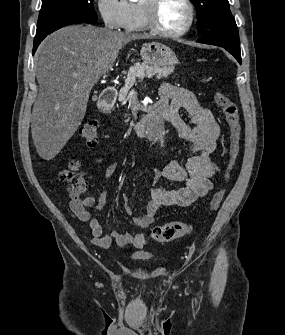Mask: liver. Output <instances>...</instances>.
<instances>
[{
  "label": "liver",
  "instance_id": "1",
  "mask_svg": "<svg viewBox=\"0 0 285 335\" xmlns=\"http://www.w3.org/2000/svg\"><path fill=\"white\" fill-rule=\"evenodd\" d=\"M148 38L90 24L67 26L45 38L35 56L40 92L31 124L42 160H53L78 130L92 88L112 68L119 50L132 40Z\"/></svg>",
  "mask_w": 285,
  "mask_h": 335
}]
</instances>
